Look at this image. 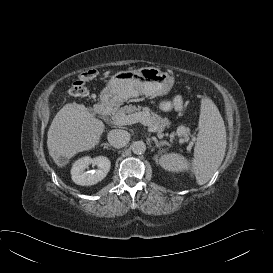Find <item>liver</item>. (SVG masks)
<instances>
[{
  "label": "liver",
  "instance_id": "liver-1",
  "mask_svg": "<svg viewBox=\"0 0 273 273\" xmlns=\"http://www.w3.org/2000/svg\"><path fill=\"white\" fill-rule=\"evenodd\" d=\"M104 123L82 104L64 105L55 115L47 134L49 155L62 168L75 154L94 148L104 132Z\"/></svg>",
  "mask_w": 273,
  "mask_h": 273
}]
</instances>
